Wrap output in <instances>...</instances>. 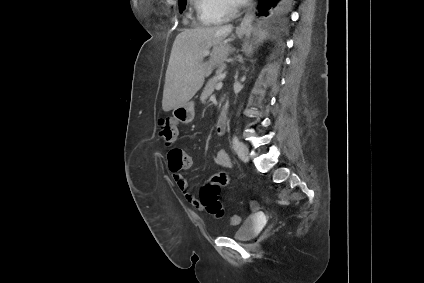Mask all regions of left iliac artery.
<instances>
[{
	"instance_id": "obj_1",
	"label": "left iliac artery",
	"mask_w": 424,
	"mask_h": 283,
	"mask_svg": "<svg viewBox=\"0 0 424 283\" xmlns=\"http://www.w3.org/2000/svg\"><path fill=\"white\" fill-rule=\"evenodd\" d=\"M232 143H233L234 150H237L239 148V145H240V142H239V139L237 138V136H233Z\"/></svg>"
}]
</instances>
